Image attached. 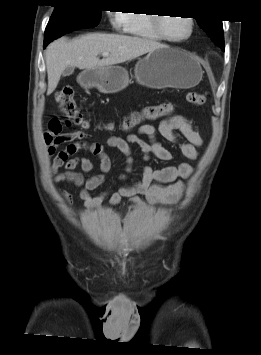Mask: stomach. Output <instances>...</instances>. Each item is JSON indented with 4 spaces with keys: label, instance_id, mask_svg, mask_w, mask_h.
Masks as SVG:
<instances>
[{
    "label": "stomach",
    "instance_id": "stomach-1",
    "mask_svg": "<svg viewBox=\"0 0 261 355\" xmlns=\"http://www.w3.org/2000/svg\"><path fill=\"white\" fill-rule=\"evenodd\" d=\"M135 78L141 85L161 89L190 88L203 75L200 63L185 51L163 46L149 52L135 66ZM84 86L96 87L102 93H116L128 86L127 70L118 65L87 69L81 74Z\"/></svg>",
    "mask_w": 261,
    "mask_h": 355
}]
</instances>
